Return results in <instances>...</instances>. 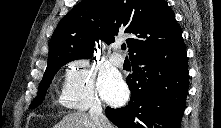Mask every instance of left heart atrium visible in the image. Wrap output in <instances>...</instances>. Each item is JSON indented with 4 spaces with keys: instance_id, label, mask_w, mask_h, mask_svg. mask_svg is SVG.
Here are the masks:
<instances>
[{
    "instance_id": "1",
    "label": "left heart atrium",
    "mask_w": 221,
    "mask_h": 128,
    "mask_svg": "<svg viewBox=\"0 0 221 128\" xmlns=\"http://www.w3.org/2000/svg\"><path fill=\"white\" fill-rule=\"evenodd\" d=\"M100 90L108 102L117 103L126 97V87L113 73L101 76Z\"/></svg>"
}]
</instances>
